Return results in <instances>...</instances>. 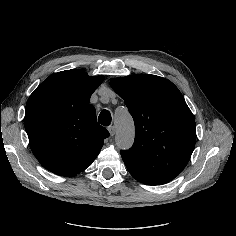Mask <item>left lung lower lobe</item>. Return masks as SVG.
I'll return each instance as SVG.
<instances>
[{
  "label": "left lung lower lobe",
  "mask_w": 236,
  "mask_h": 236,
  "mask_svg": "<svg viewBox=\"0 0 236 236\" xmlns=\"http://www.w3.org/2000/svg\"><path fill=\"white\" fill-rule=\"evenodd\" d=\"M128 171L130 172V174H131L136 180H138L139 182H141V183H143V184H147V185H159V184L155 183L154 181H152V180H150V179H148V178H145V177H143V176H141V175H139V174H137V173H135V172H133V171H130V170H128Z\"/></svg>",
  "instance_id": "left-lung-lower-lobe-1"
}]
</instances>
